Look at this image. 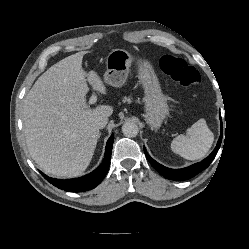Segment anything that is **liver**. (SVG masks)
I'll list each match as a JSON object with an SVG mask.
<instances>
[{
    "label": "liver",
    "mask_w": 249,
    "mask_h": 249,
    "mask_svg": "<svg viewBox=\"0 0 249 249\" xmlns=\"http://www.w3.org/2000/svg\"><path fill=\"white\" fill-rule=\"evenodd\" d=\"M85 53L78 52L51 66L24 99L22 118L28 151L45 173L55 177H77L86 170L100 135L95 122L113 113L111 106L90 109L86 102L87 80L101 94H106V87L95 71L87 74L83 70Z\"/></svg>",
    "instance_id": "1"
}]
</instances>
